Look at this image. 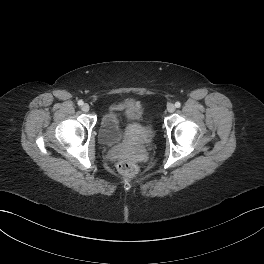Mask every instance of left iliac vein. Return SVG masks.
Instances as JSON below:
<instances>
[{"label": "left iliac vein", "mask_w": 264, "mask_h": 264, "mask_svg": "<svg viewBox=\"0 0 264 264\" xmlns=\"http://www.w3.org/2000/svg\"><path fill=\"white\" fill-rule=\"evenodd\" d=\"M167 111H168L169 113H173V112L175 111V106H174L173 104H169V105L167 106Z\"/></svg>", "instance_id": "4c4485c4"}]
</instances>
